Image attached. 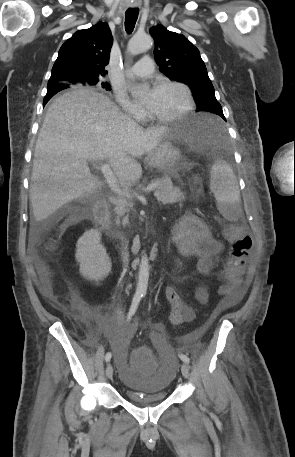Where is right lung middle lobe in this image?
<instances>
[{
  "label": "right lung middle lobe",
  "mask_w": 295,
  "mask_h": 457,
  "mask_svg": "<svg viewBox=\"0 0 295 457\" xmlns=\"http://www.w3.org/2000/svg\"><path fill=\"white\" fill-rule=\"evenodd\" d=\"M87 84H89V85H100L102 88H105L106 90H111L110 84L107 83V82H102L101 79H99V78H92V79L89 80V82ZM66 88H68V87H66Z\"/></svg>",
  "instance_id": "1"
}]
</instances>
